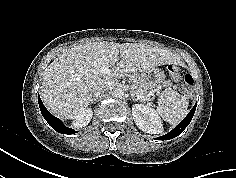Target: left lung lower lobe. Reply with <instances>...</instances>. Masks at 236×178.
I'll list each match as a JSON object with an SVG mask.
<instances>
[{
    "instance_id": "0a47b994",
    "label": "left lung lower lobe",
    "mask_w": 236,
    "mask_h": 178,
    "mask_svg": "<svg viewBox=\"0 0 236 178\" xmlns=\"http://www.w3.org/2000/svg\"><path fill=\"white\" fill-rule=\"evenodd\" d=\"M195 110H196V104L181 123H179L172 131H170L169 133H167L161 137H158L157 139L158 140H169V139L175 138L179 134H181L184 131V129L188 126V124L191 122Z\"/></svg>"
}]
</instances>
